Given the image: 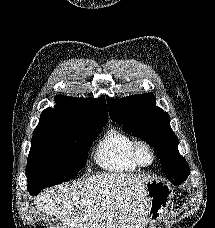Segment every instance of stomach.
Instances as JSON below:
<instances>
[{
    "mask_svg": "<svg viewBox=\"0 0 215 228\" xmlns=\"http://www.w3.org/2000/svg\"><path fill=\"white\" fill-rule=\"evenodd\" d=\"M145 196L149 228H156L173 198V190L162 180H152L146 186Z\"/></svg>",
    "mask_w": 215,
    "mask_h": 228,
    "instance_id": "1",
    "label": "stomach"
}]
</instances>
